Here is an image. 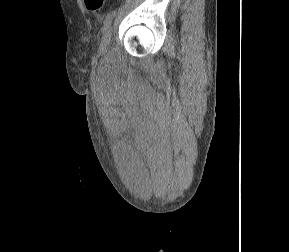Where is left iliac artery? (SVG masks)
I'll return each mask as SVG.
<instances>
[{
  "label": "left iliac artery",
  "mask_w": 289,
  "mask_h": 252,
  "mask_svg": "<svg viewBox=\"0 0 289 252\" xmlns=\"http://www.w3.org/2000/svg\"><path fill=\"white\" fill-rule=\"evenodd\" d=\"M114 16H115V12L112 11V12H109L107 16L105 17L104 22H103V26L105 30L111 25Z\"/></svg>",
  "instance_id": "44dca946"
}]
</instances>
